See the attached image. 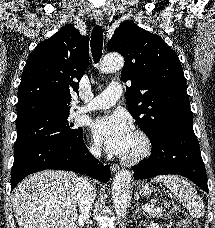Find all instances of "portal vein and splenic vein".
Wrapping results in <instances>:
<instances>
[{
    "instance_id": "portal-vein-and-splenic-vein-1",
    "label": "portal vein and splenic vein",
    "mask_w": 215,
    "mask_h": 228,
    "mask_svg": "<svg viewBox=\"0 0 215 228\" xmlns=\"http://www.w3.org/2000/svg\"><path fill=\"white\" fill-rule=\"evenodd\" d=\"M150 208H153V206H143V210H145V212H147V210H150Z\"/></svg>"
}]
</instances>
